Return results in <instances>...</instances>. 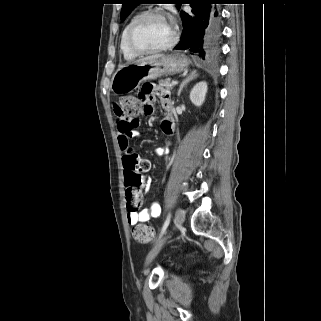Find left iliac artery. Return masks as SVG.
Returning a JSON list of instances; mask_svg holds the SVG:
<instances>
[{"instance_id": "44dca946", "label": "left iliac artery", "mask_w": 321, "mask_h": 321, "mask_svg": "<svg viewBox=\"0 0 321 321\" xmlns=\"http://www.w3.org/2000/svg\"><path fill=\"white\" fill-rule=\"evenodd\" d=\"M170 214L167 216V218H166V220H165V222H164V225H163V227H162V230H161V233H160V235H159V238H158V240L163 236V234L165 233V231H166V229H167V227H168V225H169V223H170ZM157 240V241H158Z\"/></svg>"}]
</instances>
